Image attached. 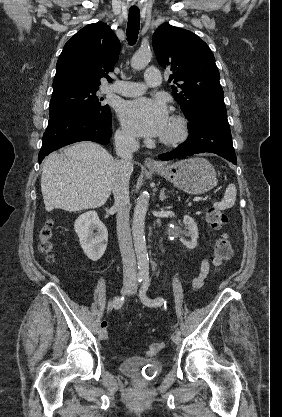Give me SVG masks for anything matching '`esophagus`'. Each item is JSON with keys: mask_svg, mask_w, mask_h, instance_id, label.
I'll list each match as a JSON object with an SVG mask.
<instances>
[{"mask_svg": "<svg viewBox=\"0 0 282 417\" xmlns=\"http://www.w3.org/2000/svg\"><path fill=\"white\" fill-rule=\"evenodd\" d=\"M145 165H147V167H160V165L150 157L145 159Z\"/></svg>", "mask_w": 282, "mask_h": 417, "instance_id": "1", "label": "esophagus"}]
</instances>
